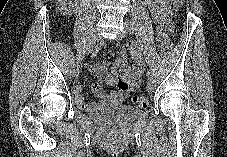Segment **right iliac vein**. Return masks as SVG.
<instances>
[{
	"label": "right iliac vein",
	"instance_id": "obj_1",
	"mask_svg": "<svg viewBox=\"0 0 227 157\" xmlns=\"http://www.w3.org/2000/svg\"><path fill=\"white\" fill-rule=\"evenodd\" d=\"M99 39V34L97 33V31H93L91 33V36L89 38V41L91 42V45H93V42H96ZM90 46H87V48H89ZM71 74L72 76L76 77L78 75V68L77 65H72L71 67Z\"/></svg>",
	"mask_w": 227,
	"mask_h": 157
}]
</instances>
